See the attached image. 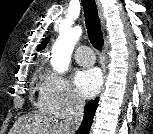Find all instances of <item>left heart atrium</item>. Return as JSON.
Returning a JSON list of instances; mask_svg holds the SVG:
<instances>
[{"label":"left heart atrium","instance_id":"left-heart-atrium-1","mask_svg":"<svg viewBox=\"0 0 153 134\" xmlns=\"http://www.w3.org/2000/svg\"><path fill=\"white\" fill-rule=\"evenodd\" d=\"M102 76L98 69L87 68L78 70L74 75V83L80 95L93 97L99 90Z\"/></svg>","mask_w":153,"mask_h":134}]
</instances>
